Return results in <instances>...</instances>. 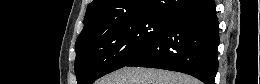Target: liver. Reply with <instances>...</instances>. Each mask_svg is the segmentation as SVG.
<instances>
[{"mask_svg":"<svg viewBox=\"0 0 260 84\" xmlns=\"http://www.w3.org/2000/svg\"><path fill=\"white\" fill-rule=\"evenodd\" d=\"M96 84H200L193 77L173 71L141 68L124 67L114 71Z\"/></svg>","mask_w":260,"mask_h":84,"instance_id":"obj_1","label":"liver"}]
</instances>
